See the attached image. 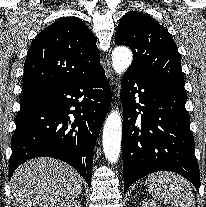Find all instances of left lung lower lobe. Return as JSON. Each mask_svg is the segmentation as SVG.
<instances>
[{"label": "left lung lower lobe", "mask_w": 206, "mask_h": 207, "mask_svg": "<svg viewBox=\"0 0 206 207\" xmlns=\"http://www.w3.org/2000/svg\"><path fill=\"white\" fill-rule=\"evenodd\" d=\"M121 86L125 192L140 178L163 170L181 174L199 191L185 90L129 73L124 74Z\"/></svg>", "instance_id": "obj_1"}]
</instances>
